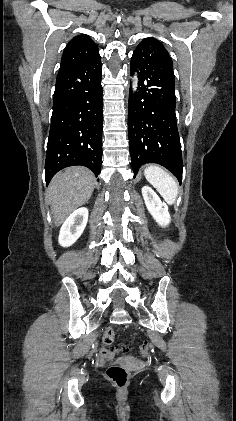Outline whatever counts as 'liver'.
Returning <instances> with one entry per match:
<instances>
[{
  "label": "liver",
  "instance_id": "6515ba94",
  "mask_svg": "<svg viewBox=\"0 0 236 421\" xmlns=\"http://www.w3.org/2000/svg\"><path fill=\"white\" fill-rule=\"evenodd\" d=\"M94 184H97L96 178L86 166H69L53 176L46 198L51 204L56 227L89 200Z\"/></svg>",
  "mask_w": 236,
  "mask_h": 421
}]
</instances>
